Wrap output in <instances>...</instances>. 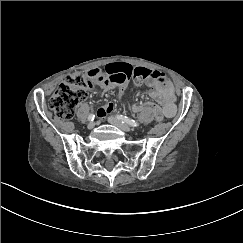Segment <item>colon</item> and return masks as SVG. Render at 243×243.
<instances>
[{"label":"colon","instance_id":"colon-1","mask_svg":"<svg viewBox=\"0 0 243 243\" xmlns=\"http://www.w3.org/2000/svg\"><path fill=\"white\" fill-rule=\"evenodd\" d=\"M91 82L82 74L68 75L58 86L48 101V106L62 119H69L74 115L77 105L87 97ZM136 112H152L156 120H162L161 109L153 103L134 106Z\"/></svg>","mask_w":243,"mask_h":243}]
</instances>
